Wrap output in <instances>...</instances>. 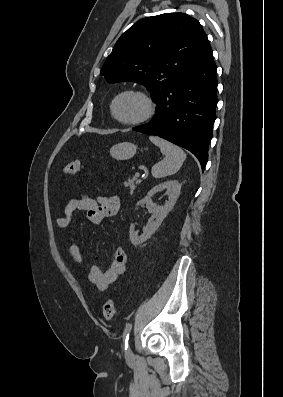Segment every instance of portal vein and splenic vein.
I'll return each mask as SVG.
<instances>
[{
  "label": "portal vein and splenic vein",
  "mask_w": 283,
  "mask_h": 397,
  "mask_svg": "<svg viewBox=\"0 0 283 397\" xmlns=\"http://www.w3.org/2000/svg\"><path fill=\"white\" fill-rule=\"evenodd\" d=\"M135 176H136L137 178H139V177H140V173H139V172H136V173H135Z\"/></svg>",
  "instance_id": "portal-vein-and-splenic-vein-1"
}]
</instances>
